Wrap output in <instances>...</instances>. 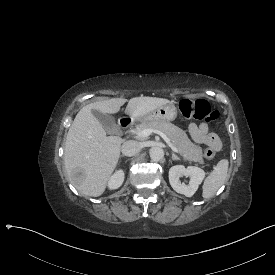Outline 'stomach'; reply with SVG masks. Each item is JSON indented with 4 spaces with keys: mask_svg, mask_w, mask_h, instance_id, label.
<instances>
[{
    "mask_svg": "<svg viewBox=\"0 0 275 275\" xmlns=\"http://www.w3.org/2000/svg\"><path fill=\"white\" fill-rule=\"evenodd\" d=\"M177 117V108L174 104H166L157 107L153 111L145 114L144 116L135 118L143 122H155V121H173Z\"/></svg>",
    "mask_w": 275,
    "mask_h": 275,
    "instance_id": "stomach-1",
    "label": "stomach"
}]
</instances>
